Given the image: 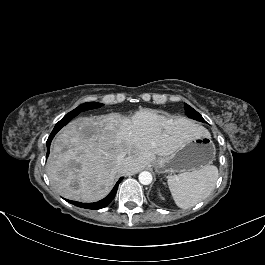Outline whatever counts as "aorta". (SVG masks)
<instances>
[{"label": "aorta", "instance_id": "obj_1", "mask_svg": "<svg viewBox=\"0 0 265 265\" xmlns=\"http://www.w3.org/2000/svg\"><path fill=\"white\" fill-rule=\"evenodd\" d=\"M139 182L143 185H149L152 182V174L148 171H143L139 174Z\"/></svg>", "mask_w": 265, "mask_h": 265}]
</instances>
